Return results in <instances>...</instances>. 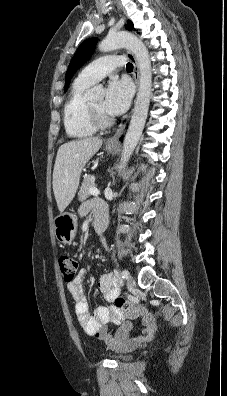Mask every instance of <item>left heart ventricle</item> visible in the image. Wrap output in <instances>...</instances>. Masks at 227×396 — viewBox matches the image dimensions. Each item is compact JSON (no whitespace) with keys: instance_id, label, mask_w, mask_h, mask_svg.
<instances>
[{"instance_id":"1","label":"left heart ventricle","mask_w":227,"mask_h":396,"mask_svg":"<svg viewBox=\"0 0 227 396\" xmlns=\"http://www.w3.org/2000/svg\"><path fill=\"white\" fill-rule=\"evenodd\" d=\"M90 103L94 108L105 113L104 108H103V100L102 99H97V100L91 101Z\"/></svg>"}]
</instances>
